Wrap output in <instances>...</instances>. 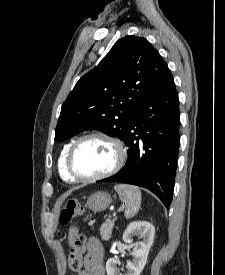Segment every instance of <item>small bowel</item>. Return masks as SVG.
Instances as JSON below:
<instances>
[{"instance_id":"c3829d8e","label":"small bowel","mask_w":225,"mask_h":275,"mask_svg":"<svg viewBox=\"0 0 225 275\" xmlns=\"http://www.w3.org/2000/svg\"><path fill=\"white\" fill-rule=\"evenodd\" d=\"M83 269L78 275H105L103 267V248L95 238H89L84 246Z\"/></svg>"}]
</instances>
